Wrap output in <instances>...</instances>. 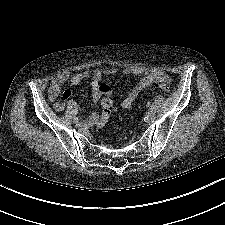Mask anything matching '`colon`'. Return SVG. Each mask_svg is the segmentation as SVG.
<instances>
[{
	"instance_id": "colon-1",
	"label": "colon",
	"mask_w": 225,
	"mask_h": 225,
	"mask_svg": "<svg viewBox=\"0 0 225 225\" xmlns=\"http://www.w3.org/2000/svg\"><path fill=\"white\" fill-rule=\"evenodd\" d=\"M157 88L161 92H167L169 90L166 84H159ZM111 114H112V101L110 98H105L102 101V112L100 116L97 117V119L95 120V126L98 131L103 130V128L109 121Z\"/></svg>"
}]
</instances>
